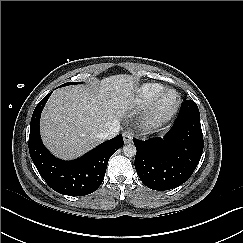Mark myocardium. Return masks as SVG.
Wrapping results in <instances>:
<instances>
[{
    "label": "myocardium",
    "mask_w": 243,
    "mask_h": 243,
    "mask_svg": "<svg viewBox=\"0 0 243 243\" xmlns=\"http://www.w3.org/2000/svg\"><path fill=\"white\" fill-rule=\"evenodd\" d=\"M169 95L174 96V100L171 103L167 102ZM180 105V93L176 89H165L145 111L142 121L144 127L152 130L162 126L176 114Z\"/></svg>",
    "instance_id": "myocardium-1"
}]
</instances>
